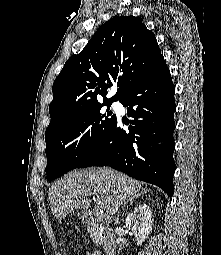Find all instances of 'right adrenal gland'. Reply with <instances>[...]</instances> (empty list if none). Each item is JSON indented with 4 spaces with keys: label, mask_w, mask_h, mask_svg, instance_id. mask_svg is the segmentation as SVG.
<instances>
[{
    "label": "right adrenal gland",
    "mask_w": 221,
    "mask_h": 255,
    "mask_svg": "<svg viewBox=\"0 0 221 255\" xmlns=\"http://www.w3.org/2000/svg\"><path fill=\"white\" fill-rule=\"evenodd\" d=\"M144 193H146V191H144ZM141 194H143V191L141 192ZM141 194H138V195L133 196V197L129 198L128 200H126V202H124V204H123V206H122V209L126 206V204H127L128 202H131V203H132L133 200L138 199V198L141 196Z\"/></svg>",
    "instance_id": "right-adrenal-gland-1"
}]
</instances>
